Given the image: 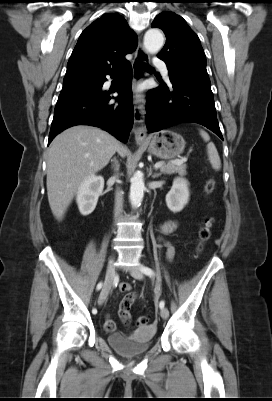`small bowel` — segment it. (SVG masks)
Instances as JSON below:
<instances>
[{"instance_id":"obj_1","label":"small bowel","mask_w":272,"mask_h":401,"mask_svg":"<svg viewBox=\"0 0 272 401\" xmlns=\"http://www.w3.org/2000/svg\"><path fill=\"white\" fill-rule=\"evenodd\" d=\"M176 228L177 222L174 220H167L161 225V231L163 234H170L174 232ZM163 245L166 250V257L168 259H172L175 254V249L173 245L167 241H164ZM130 289V284L127 282H123L120 284L118 292L115 294L117 295L119 293H126L119 304V316L121 320L126 324L129 323L131 320L130 308L137 299V294L135 292H130ZM105 328L107 331H113L115 328V323L109 315H107L105 319Z\"/></svg>"}]
</instances>
